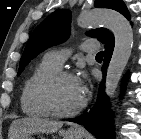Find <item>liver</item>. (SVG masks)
Instances as JSON below:
<instances>
[{"instance_id": "obj_1", "label": "liver", "mask_w": 141, "mask_h": 139, "mask_svg": "<svg viewBox=\"0 0 141 139\" xmlns=\"http://www.w3.org/2000/svg\"><path fill=\"white\" fill-rule=\"evenodd\" d=\"M63 126L61 121L27 117L14 120L9 129L10 139H25L35 133H54Z\"/></svg>"}]
</instances>
